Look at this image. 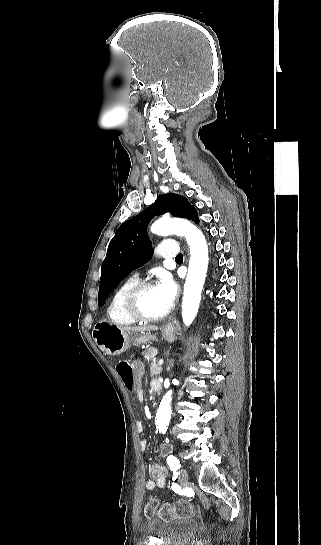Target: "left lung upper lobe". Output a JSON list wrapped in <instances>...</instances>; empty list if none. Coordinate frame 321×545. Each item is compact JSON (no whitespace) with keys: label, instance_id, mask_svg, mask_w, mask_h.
Wrapping results in <instances>:
<instances>
[{"label":"left lung upper lobe","instance_id":"obj_1","mask_svg":"<svg viewBox=\"0 0 321 545\" xmlns=\"http://www.w3.org/2000/svg\"><path fill=\"white\" fill-rule=\"evenodd\" d=\"M168 211L173 216L189 220L196 213L194 206L185 197L169 193L159 196L151 206L118 228L102 263L99 306L130 272L144 265L150 258L152 243L146 234L147 224L155 215Z\"/></svg>","mask_w":321,"mask_h":545}]
</instances>
